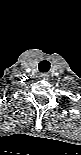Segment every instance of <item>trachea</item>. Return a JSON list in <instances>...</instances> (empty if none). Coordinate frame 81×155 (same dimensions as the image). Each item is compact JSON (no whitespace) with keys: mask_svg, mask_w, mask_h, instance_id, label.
Masks as SVG:
<instances>
[{"mask_svg":"<svg viewBox=\"0 0 81 155\" xmlns=\"http://www.w3.org/2000/svg\"><path fill=\"white\" fill-rule=\"evenodd\" d=\"M38 68L40 72L46 73L49 71L50 63L47 60H43L39 63Z\"/></svg>","mask_w":81,"mask_h":155,"instance_id":"1","label":"trachea"}]
</instances>
